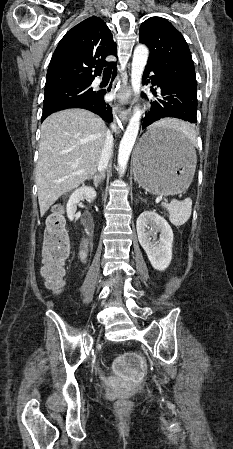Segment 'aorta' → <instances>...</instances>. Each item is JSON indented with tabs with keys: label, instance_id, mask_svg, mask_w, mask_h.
<instances>
[{
	"label": "aorta",
	"instance_id": "obj_1",
	"mask_svg": "<svg viewBox=\"0 0 233 449\" xmlns=\"http://www.w3.org/2000/svg\"><path fill=\"white\" fill-rule=\"evenodd\" d=\"M148 55L149 51L145 45L140 44L135 47L131 69V83L135 95H138L140 92L142 75L147 63ZM140 118L141 111L136 108L121 139L118 152V165L121 174L125 171L130 153L137 138Z\"/></svg>",
	"mask_w": 233,
	"mask_h": 449
}]
</instances>
